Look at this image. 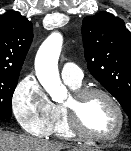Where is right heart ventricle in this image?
Wrapping results in <instances>:
<instances>
[{
	"label": "right heart ventricle",
	"instance_id": "right-heart-ventricle-1",
	"mask_svg": "<svg viewBox=\"0 0 131 151\" xmlns=\"http://www.w3.org/2000/svg\"><path fill=\"white\" fill-rule=\"evenodd\" d=\"M66 83L74 91L79 89L81 86V83L80 84H74L69 82ZM47 135H52L57 138L67 139V140L76 138V136L73 134V132L69 127L64 105L54 104V118Z\"/></svg>",
	"mask_w": 131,
	"mask_h": 151
}]
</instances>
